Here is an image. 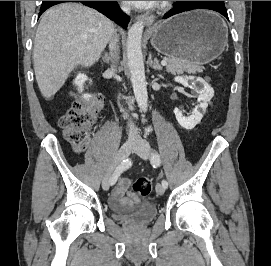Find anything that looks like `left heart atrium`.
Returning <instances> with one entry per match:
<instances>
[{
  "label": "left heart atrium",
  "mask_w": 271,
  "mask_h": 266,
  "mask_svg": "<svg viewBox=\"0 0 271 266\" xmlns=\"http://www.w3.org/2000/svg\"><path fill=\"white\" fill-rule=\"evenodd\" d=\"M126 2L137 8H148L157 4L159 1H126Z\"/></svg>",
  "instance_id": "left-heart-atrium-1"
}]
</instances>
